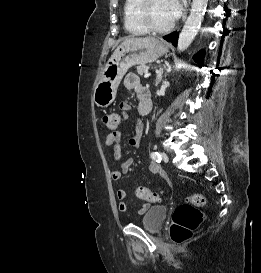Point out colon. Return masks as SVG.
<instances>
[{
  "label": "colon",
  "mask_w": 261,
  "mask_h": 273,
  "mask_svg": "<svg viewBox=\"0 0 261 273\" xmlns=\"http://www.w3.org/2000/svg\"><path fill=\"white\" fill-rule=\"evenodd\" d=\"M121 115L117 112L105 113L102 116V123L110 130H115L120 124ZM134 194L137 198L150 203L160 201V195L144 186H136ZM207 202L206 196L202 194H192L188 196L187 202L179 206L173 214V224L170 235L174 242L183 243L189 239L193 231L204 219V214L197 208L204 206Z\"/></svg>",
  "instance_id": "1"
}]
</instances>
